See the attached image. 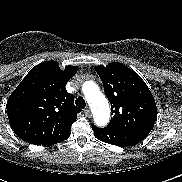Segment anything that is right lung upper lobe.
I'll list each match as a JSON object with an SVG mask.
<instances>
[{
  "mask_svg": "<svg viewBox=\"0 0 182 182\" xmlns=\"http://www.w3.org/2000/svg\"><path fill=\"white\" fill-rule=\"evenodd\" d=\"M76 72L73 66L61 70L55 61L29 71L7 101L9 123L18 137L30 144L50 145L70 136L81 109L65 86Z\"/></svg>",
  "mask_w": 182,
  "mask_h": 182,
  "instance_id": "1",
  "label": "right lung upper lobe"
}]
</instances>
